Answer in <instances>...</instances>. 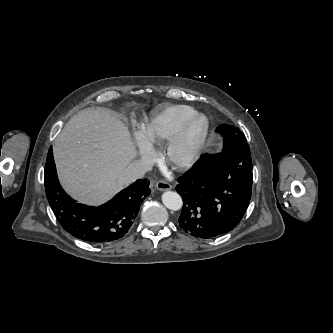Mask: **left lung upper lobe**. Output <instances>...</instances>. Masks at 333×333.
<instances>
[{
  "mask_svg": "<svg viewBox=\"0 0 333 333\" xmlns=\"http://www.w3.org/2000/svg\"><path fill=\"white\" fill-rule=\"evenodd\" d=\"M242 143H247V140L244 135L229 139V141L227 142V146H228L229 150H232L233 148H235L236 146H238Z\"/></svg>",
  "mask_w": 333,
  "mask_h": 333,
  "instance_id": "obj_1",
  "label": "left lung upper lobe"
}]
</instances>
